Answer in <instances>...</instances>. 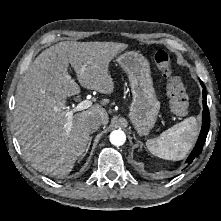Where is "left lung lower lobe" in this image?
<instances>
[{"mask_svg": "<svg viewBox=\"0 0 221 221\" xmlns=\"http://www.w3.org/2000/svg\"><path fill=\"white\" fill-rule=\"evenodd\" d=\"M201 85L203 87V114H202V129L199 135V138L197 140L196 146L189 155V157L186 160V163L189 165L192 163V161L199 156L202 152V147L206 141V137L209 131L210 127V114L207 107L206 102V90L203 82H201Z\"/></svg>", "mask_w": 221, "mask_h": 221, "instance_id": "1", "label": "left lung lower lobe"}]
</instances>
